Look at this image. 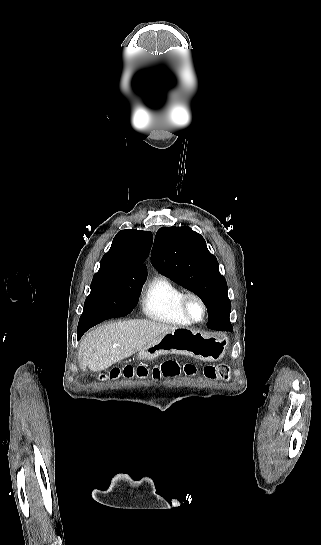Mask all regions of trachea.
<instances>
[{
    "label": "trachea",
    "mask_w": 321,
    "mask_h": 545,
    "mask_svg": "<svg viewBox=\"0 0 321 545\" xmlns=\"http://www.w3.org/2000/svg\"><path fill=\"white\" fill-rule=\"evenodd\" d=\"M157 110L160 112L162 109L159 107Z\"/></svg>",
    "instance_id": "obj_1"
}]
</instances>
